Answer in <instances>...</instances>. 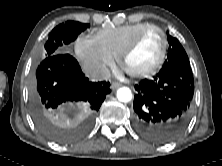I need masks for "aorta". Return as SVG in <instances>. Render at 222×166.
Returning a JSON list of instances; mask_svg holds the SVG:
<instances>
[{
  "mask_svg": "<svg viewBox=\"0 0 222 166\" xmlns=\"http://www.w3.org/2000/svg\"><path fill=\"white\" fill-rule=\"evenodd\" d=\"M116 95L121 102H130L132 100V92L128 87L119 88Z\"/></svg>",
  "mask_w": 222,
  "mask_h": 166,
  "instance_id": "762f6f07",
  "label": "aorta"
}]
</instances>
